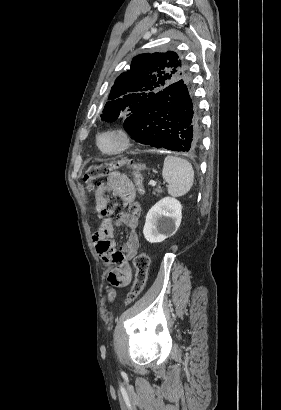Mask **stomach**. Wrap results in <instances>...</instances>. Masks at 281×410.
Segmentation results:
<instances>
[{"mask_svg":"<svg viewBox=\"0 0 281 410\" xmlns=\"http://www.w3.org/2000/svg\"><path fill=\"white\" fill-rule=\"evenodd\" d=\"M137 168L141 170L144 168V165H138Z\"/></svg>","mask_w":281,"mask_h":410,"instance_id":"stomach-1","label":"stomach"}]
</instances>
